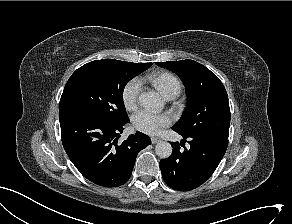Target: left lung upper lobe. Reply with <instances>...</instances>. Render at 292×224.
I'll return each mask as SVG.
<instances>
[{"label":"left lung upper lobe","instance_id":"left-lung-upper-lobe-1","mask_svg":"<svg viewBox=\"0 0 292 224\" xmlns=\"http://www.w3.org/2000/svg\"><path fill=\"white\" fill-rule=\"evenodd\" d=\"M176 73L187 93V108L172 127L181 135L228 138L230 108L222 82L208 68L193 60L156 63Z\"/></svg>","mask_w":292,"mask_h":224}]
</instances>
